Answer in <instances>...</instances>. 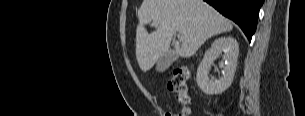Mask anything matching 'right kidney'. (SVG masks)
Instances as JSON below:
<instances>
[{"instance_id":"right-kidney-1","label":"right kidney","mask_w":305,"mask_h":116,"mask_svg":"<svg viewBox=\"0 0 305 116\" xmlns=\"http://www.w3.org/2000/svg\"><path fill=\"white\" fill-rule=\"evenodd\" d=\"M224 53V61L220 64L222 76L219 79H209L208 72L211 63ZM239 46L236 39L232 37H220L216 39L211 48L204 55L202 62L197 69V84L199 88L207 95L220 94L224 92L231 84L237 66Z\"/></svg>"}]
</instances>
